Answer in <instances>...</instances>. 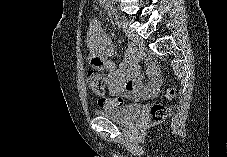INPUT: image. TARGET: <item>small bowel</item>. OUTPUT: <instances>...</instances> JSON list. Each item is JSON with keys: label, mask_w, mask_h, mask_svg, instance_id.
I'll return each instance as SVG.
<instances>
[{"label": "small bowel", "mask_w": 227, "mask_h": 157, "mask_svg": "<svg viewBox=\"0 0 227 157\" xmlns=\"http://www.w3.org/2000/svg\"><path fill=\"white\" fill-rule=\"evenodd\" d=\"M87 47L91 65L99 71L108 72L107 76H102L104 88L106 86L110 95L136 100L152 97L157 93L160 79L155 65L149 64L148 80L143 84L138 63L140 56L135 47L130 45L123 62L118 66L110 59L114 55V45L98 20H92L90 23Z\"/></svg>", "instance_id": "c3829d8e"}]
</instances>
